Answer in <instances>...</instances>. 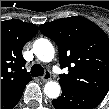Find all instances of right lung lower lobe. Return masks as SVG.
Instances as JSON below:
<instances>
[{
	"label": "right lung lower lobe",
	"mask_w": 109,
	"mask_h": 109,
	"mask_svg": "<svg viewBox=\"0 0 109 109\" xmlns=\"http://www.w3.org/2000/svg\"><path fill=\"white\" fill-rule=\"evenodd\" d=\"M27 84V83H26ZM26 84L21 85L9 95L1 98V109H12L19 102Z\"/></svg>",
	"instance_id": "right-lung-lower-lobe-1"
}]
</instances>
